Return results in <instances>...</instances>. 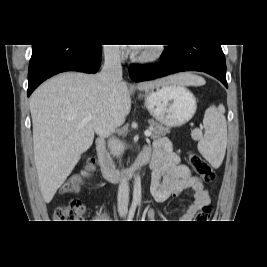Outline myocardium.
Returning <instances> with one entry per match:
<instances>
[{"instance_id": "1", "label": "myocardium", "mask_w": 267, "mask_h": 267, "mask_svg": "<svg viewBox=\"0 0 267 267\" xmlns=\"http://www.w3.org/2000/svg\"><path fill=\"white\" fill-rule=\"evenodd\" d=\"M164 48L159 45L149 46L136 56L139 62L147 63L157 60L163 54Z\"/></svg>"}]
</instances>
